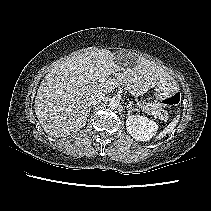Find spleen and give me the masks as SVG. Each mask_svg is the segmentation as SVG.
<instances>
[{"label": "spleen", "instance_id": "3e777b00", "mask_svg": "<svg viewBox=\"0 0 211 211\" xmlns=\"http://www.w3.org/2000/svg\"><path fill=\"white\" fill-rule=\"evenodd\" d=\"M179 121V116H177L166 128L165 130L159 134L158 138L160 139L161 137L165 136L167 133H170L171 131L174 130L176 127L177 123Z\"/></svg>", "mask_w": 211, "mask_h": 211}]
</instances>
